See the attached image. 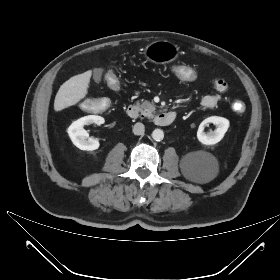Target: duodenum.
<instances>
[{"label":"duodenum","mask_w":280,"mask_h":280,"mask_svg":"<svg viewBox=\"0 0 280 280\" xmlns=\"http://www.w3.org/2000/svg\"><path fill=\"white\" fill-rule=\"evenodd\" d=\"M126 113L131 119H137L141 115L139 107L135 104H130L126 109ZM175 117V111L168 110L158 114L154 122L159 126H168L174 121Z\"/></svg>","instance_id":"duodenum-1"}]
</instances>
